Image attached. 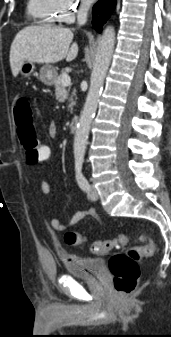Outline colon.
Returning a JSON list of instances; mask_svg holds the SVG:
<instances>
[{"label":"colon","mask_w":171,"mask_h":337,"mask_svg":"<svg viewBox=\"0 0 171 337\" xmlns=\"http://www.w3.org/2000/svg\"><path fill=\"white\" fill-rule=\"evenodd\" d=\"M15 123L19 140L23 146L26 162L35 165L41 161H49L53 156V149L46 144L44 137H37L33 124V115L29 101L22 97L15 105ZM65 242L71 246L84 244L85 238L77 232L68 231L64 236ZM144 245L134 246L126 252L116 253L109 260V269L113 276V285L116 293L122 297L128 296L136 289L140 277L139 259L143 255H150L155 250V243L142 236ZM129 238L126 233H120L111 239L94 241L91 251L95 254L110 252L117 246L128 244Z\"/></svg>","instance_id":"1"}]
</instances>
